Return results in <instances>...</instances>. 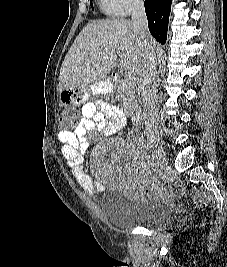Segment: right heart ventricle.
Instances as JSON below:
<instances>
[{
  "label": "right heart ventricle",
  "mask_w": 227,
  "mask_h": 267,
  "mask_svg": "<svg viewBox=\"0 0 227 267\" xmlns=\"http://www.w3.org/2000/svg\"><path fill=\"white\" fill-rule=\"evenodd\" d=\"M101 9L108 16H116L119 15L116 8L107 2V0H101Z\"/></svg>",
  "instance_id": "right-heart-ventricle-1"
}]
</instances>
